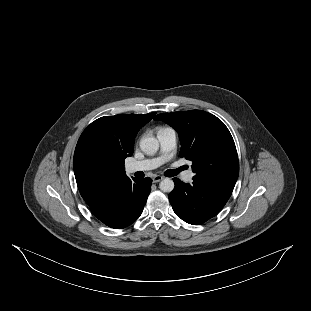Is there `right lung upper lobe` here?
I'll return each instance as SVG.
<instances>
[{
	"mask_svg": "<svg viewBox=\"0 0 311 311\" xmlns=\"http://www.w3.org/2000/svg\"><path fill=\"white\" fill-rule=\"evenodd\" d=\"M156 113L101 117L81 134L73 168L78 189L87 204L130 178L124 160L134 152L135 137Z\"/></svg>",
	"mask_w": 311,
	"mask_h": 311,
	"instance_id": "1",
	"label": "right lung upper lobe"
}]
</instances>
